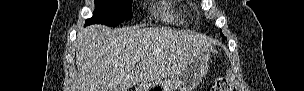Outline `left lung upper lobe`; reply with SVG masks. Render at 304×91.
Returning <instances> with one entry per match:
<instances>
[{"label": "left lung upper lobe", "mask_w": 304, "mask_h": 91, "mask_svg": "<svg viewBox=\"0 0 304 91\" xmlns=\"http://www.w3.org/2000/svg\"><path fill=\"white\" fill-rule=\"evenodd\" d=\"M221 36H222L223 38H225L224 35H223L222 33H221ZM225 39H226V38H225Z\"/></svg>", "instance_id": "obj_1"}]
</instances>
